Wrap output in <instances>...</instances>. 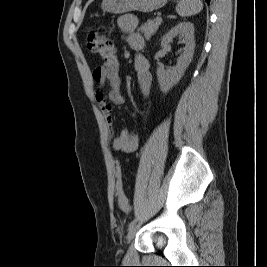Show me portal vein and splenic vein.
<instances>
[{
    "label": "portal vein and splenic vein",
    "mask_w": 267,
    "mask_h": 267,
    "mask_svg": "<svg viewBox=\"0 0 267 267\" xmlns=\"http://www.w3.org/2000/svg\"><path fill=\"white\" fill-rule=\"evenodd\" d=\"M156 20H158V21L162 20L161 15H158V16L156 17Z\"/></svg>",
    "instance_id": "1"
}]
</instances>
